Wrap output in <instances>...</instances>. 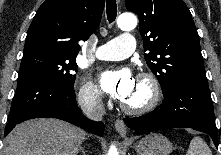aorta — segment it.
Wrapping results in <instances>:
<instances>
[{"label":"aorta","instance_id":"obj_1","mask_svg":"<svg viewBox=\"0 0 221 155\" xmlns=\"http://www.w3.org/2000/svg\"><path fill=\"white\" fill-rule=\"evenodd\" d=\"M118 27L124 31H131L137 25V19L132 14H122L117 20ZM108 155H119L115 145H111L108 150Z\"/></svg>","mask_w":221,"mask_h":155}]
</instances>
